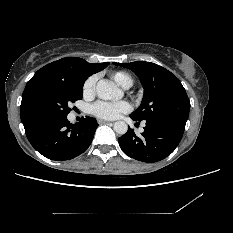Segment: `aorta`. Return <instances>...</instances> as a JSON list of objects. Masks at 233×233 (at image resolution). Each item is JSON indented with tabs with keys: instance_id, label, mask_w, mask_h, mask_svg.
Here are the masks:
<instances>
[{
	"instance_id": "1",
	"label": "aorta",
	"mask_w": 233,
	"mask_h": 233,
	"mask_svg": "<svg viewBox=\"0 0 233 233\" xmlns=\"http://www.w3.org/2000/svg\"><path fill=\"white\" fill-rule=\"evenodd\" d=\"M97 96L103 100H119L123 97V92L113 82L100 80L96 86ZM128 126L124 121L114 123V131L120 135L127 132Z\"/></svg>"
}]
</instances>
